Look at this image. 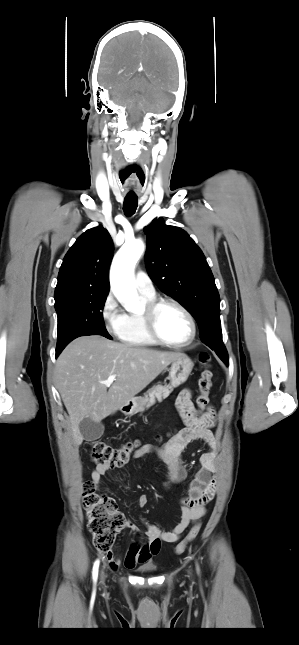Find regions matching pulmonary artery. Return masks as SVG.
I'll return each mask as SVG.
<instances>
[{
	"label": "pulmonary artery",
	"mask_w": 299,
	"mask_h": 645,
	"mask_svg": "<svg viewBox=\"0 0 299 645\" xmlns=\"http://www.w3.org/2000/svg\"><path fill=\"white\" fill-rule=\"evenodd\" d=\"M136 286L138 290L146 295L154 296L155 288L150 277L143 271L137 272L135 276Z\"/></svg>",
	"instance_id": "obj_1"
}]
</instances>
